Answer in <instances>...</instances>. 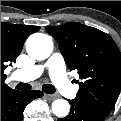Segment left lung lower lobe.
Here are the masks:
<instances>
[{
	"label": "left lung lower lobe",
	"mask_w": 121,
	"mask_h": 121,
	"mask_svg": "<svg viewBox=\"0 0 121 121\" xmlns=\"http://www.w3.org/2000/svg\"><path fill=\"white\" fill-rule=\"evenodd\" d=\"M71 111L65 118H59L58 121H103L107 115L87 108L80 101L69 100Z\"/></svg>",
	"instance_id": "obj_1"
}]
</instances>
